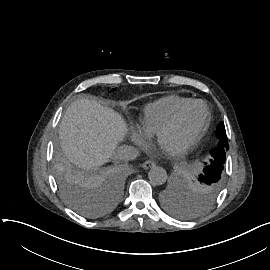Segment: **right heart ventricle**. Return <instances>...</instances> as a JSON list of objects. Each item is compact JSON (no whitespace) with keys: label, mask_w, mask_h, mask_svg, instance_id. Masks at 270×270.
<instances>
[{"label":"right heart ventricle","mask_w":270,"mask_h":270,"mask_svg":"<svg viewBox=\"0 0 270 270\" xmlns=\"http://www.w3.org/2000/svg\"><path fill=\"white\" fill-rule=\"evenodd\" d=\"M192 102L190 98L167 95L147 104L141 120L143 132L157 134L181 109Z\"/></svg>","instance_id":"right-heart-ventricle-1"}]
</instances>
